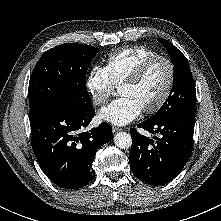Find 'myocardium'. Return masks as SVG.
<instances>
[{
	"instance_id": "obj_1",
	"label": "myocardium",
	"mask_w": 221,
	"mask_h": 221,
	"mask_svg": "<svg viewBox=\"0 0 221 221\" xmlns=\"http://www.w3.org/2000/svg\"><path fill=\"white\" fill-rule=\"evenodd\" d=\"M156 61H163L166 63L169 69V79H168L166 89L163 95L160 97V99L153 106L143 109V111L147 114H153V113L158 112L167 103L168 99L171 96L173 86L175 83V76H176L175 65L172 62V60L167 56L159 55V54L149 57L146 60H144L132 72V74L126 80H124L121 84V86L136 84L143 78L148 68Z\"/></svg>"
}]
</instances>
